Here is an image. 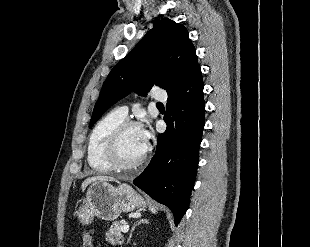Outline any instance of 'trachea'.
I'll use <instances>...</instances> for the list:
<instances>
[{
    "mask_svg": "<svg viewBox=\"0 0 310 247\" xmlns=\"http://www.w3.org/2000/svg\"><path fill=\"white\" fill-rule=\"evenodd\" d=\"M157 105H162V103H157Z\"/></svg>",
    "mask_w": 310,
    "mask_h": 247,
    "instance_id": "trachea-1",
    "label": "trachea"
}]
</instances>
